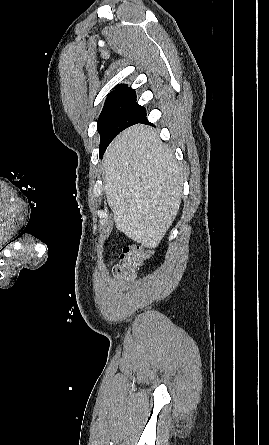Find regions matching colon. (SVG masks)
<instances>
[{
    "instance_id": "obj_1",
    "label": "colon",
    "mask_w": 269,
    "mask_h": 445,
    "mask_svg": "<svg viewBox=\"0 0 269 445\" xmlns=\"http://www.w3.org/2000/svg\"><path fill=\"white\" fill-rule=\"evenodd\" d=\"M151 256V250L144 245H130L123 249L116 274L120 280L132 279L135 271Z\"/></svg>"
}]
</instances>
